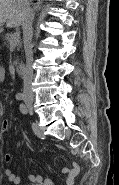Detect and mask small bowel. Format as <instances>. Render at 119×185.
<instances>
[{
  "mask_svg": "<svg viewBox=\"0 0 119 185\" xmlns=\"http://www.w3.org/2000/svg\"><path fill=\"white\" fill-rule=\"evenodd\" d=\"M6 78V71L4 68H0V81H4ZM0 112L3 113V106L0 105ZM9 129V122L7 120H3L1 124V131L5 134ZM3 160L6 163L11 162L12 155L10 153H6L3 156ZM62 173L66 176L65 184L66 185H73L74 181L79 173V166L78 164L74 163L71 167H64L62 169ZM5 176L8 180L12 183L18 184L21 181L20 176L15 174L11 169H5L4 171ZM29 180L34 183H41L42 185H55L52 179L43 178L41 175H30Z\"/></svg>",
  "mask_w": 119,
  "mask_h": 185,
  "instance_id": "c3829d8e",
  "label": "small bowel"
}]
</instances>
